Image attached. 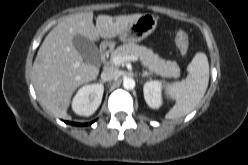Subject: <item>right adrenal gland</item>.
I'll list each match as a JSON object with an SVG mask.
<instances>
[{
    "label": "right adrenal gland",
    "instance_id": "obj_1",
    "mask_svg": "<svg viewBox=\"0 0 248 165\" xmlns=\"http://www.w3.org/2000/svg\"><path fill=\"white\" fill-rule=\"evenodd\" d=\"M100 83H101V84H104L105 82H104V81H102V80H100Z\"/></svg>",
    "mask_w": 248,
    "mask_h": 165
}]
</instances>
